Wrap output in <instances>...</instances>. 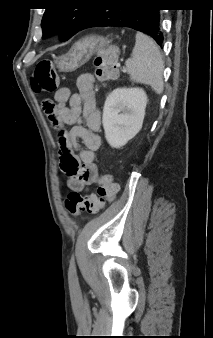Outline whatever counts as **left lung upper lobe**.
<instances>
[{
    "label": "left lung upper lobe",
    "instance_id": "1",
    "mask_svg": "<svg viewBox=\"0 0 213 338\" xmlns=\"http://www.w3.org/2000/svg\"><path fill=\"white\" fill-rule=\"evenodd\" d=\"M105 0H48L42 19L43 38L59 33L61 41L77 33L86 19Z\"/></svg>",
    "mask_w": 213,
    "mask_h": 338
}]
</instances>
